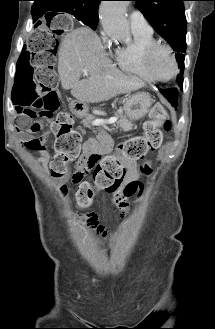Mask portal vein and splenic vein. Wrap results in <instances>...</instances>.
I'll return each mask as SVG.
<instances>
[{
    "label": "portal vein and splenic vein",
    "mask_w": 215,
    "mask_h": 329,
    "mask_svg": "<svg viewBox=\"0 0 215 329\" xmlns=\"http://www.w3.org/2000/svg\"><path fill=\"white\" fill-rule=\"evenodd\" d=\"M81 72H82L84 75L88 76V71H87L86 69H81ZM117 119H118L117 117H111L110 119H106V120H104V119H95V120L92 122V124H93V125L112 124V123L116 122Z\"/></svg>",
    "instance_id": "18ae733b"
}]
</instances>
